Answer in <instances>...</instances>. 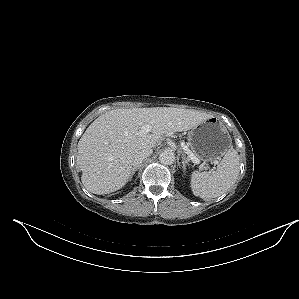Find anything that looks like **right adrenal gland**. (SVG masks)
<instances>
[{"instance_id": "2a0ac1e0", "label": "right adrenal gland", "mask_w": 299, "mask_h": 299, "mask_svg": "<svg viewBox=\"0 0 299 299\" xmlns=\"http://www.w3.org/2000/svg\"><path fill=\"white\" fill-rule=\"evenodd\" d=\"M139 168H140V165L137 166V167H134V168L132 169V172H131V175H130V180L132 179L133 175L135 174V172H136Z\"/></svg>"}]
</instances>
